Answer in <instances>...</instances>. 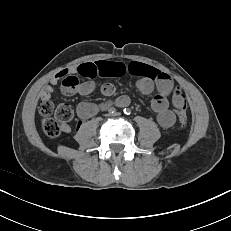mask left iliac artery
I'll use <instances>...</instances> for the list:
<instances>
[{
  "label": "left iliac artery",
  "instance_id": "left-iliac-artery-1",
  "mask_svg": "<svg viewBox=\"0 0 231 231\" xmlns=\"http://www.w3.org/2000/svg\"><path fill=\"white\" fill-rule=\"evenodd\" d=\"M124 113H125L126 115H130V114H131V110H130L129 108H125V109H124Z\"/></svg>",
  "mask_w": 231,
  "mask_h": 231
}]
</instances>
